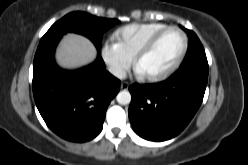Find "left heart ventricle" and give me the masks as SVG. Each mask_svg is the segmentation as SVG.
Listing matches in <instances>:
<instances>
[{"mask_svg":"<svg viewBox=\"0 0 248 165\" xmlns=\"http://www.w3.org/2000/svg\"><path fill=\"white\" fill-rule=\"evenodd\" d=\"M183 44L182 35L175 30L165 33L138 63L143 75L161 71L179 54Z\"/></svg>","mask_w":248,"mask_h":165,"instance_id":"obj_1","label":"left heart ventricle"}]
</instances>
